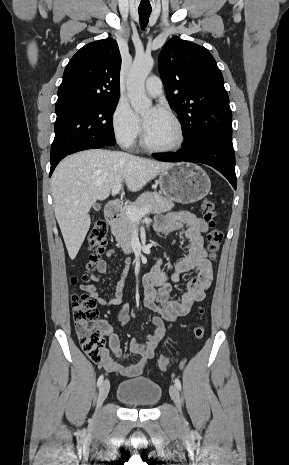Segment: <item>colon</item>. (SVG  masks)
I'll return each instance as SVG.
<instances>
[{"mask_svg": "<svg viewBox=\"0 0 289 465\" xmlns=\"http://www.w3.org/2000/svg\"><path fill=\"white\" fill-rule=\"evenodd\" d=\"M201 210L205 221L208 223L207 248L209 258L215 260L222 242L223 234L217 228L215 205L210 199H205L201 204ZM108 229L103 221H97L88 236V242L92 253L90 255L89 268L93 269L100 259L107 243ZM82 281H87L88 276L83 275ZM78 282L77 277L72 278V283ZM72 312L75 321V331L83 351L93 362H99L105 352V340L102 335V327L98 321L99 312L94 300L86 294H74L72 296ZM203 310H200L202 313ZM197 339L204 336V329L197 326L193 329ZM171 360L167 356H161L158 361L160 369L169 368Z\"/></svg>", "mask_w": 289, "mask_h": 465, "instance_id": "colon-1", "label": "colon"}]
</instances>
